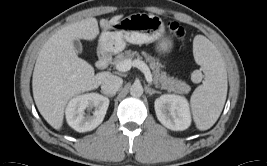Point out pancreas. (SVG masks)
Instances as JSON below:
<instances>
[{"mask_svg": "<svg viewBox=\"0 0 267 166\" xmlns=\"http://www.w3.org/2000/svg\"><path fill=\"white\" fill-rule=\"evenodd\" d=\"M142 56H144L145 61L149 64V67L152 70L153 83L157 88L178 94H187L190 92L191 87L185 81L169 77L165 71H162L163 65L154 57L148 55L144 51L142 52ZM142 56L137 51L126 50L125 52L118 54L112 63L116 66L124 60H132L134 57H136L137 60H141Z\"/></svg>", "mask_w": 267, "mask_h": 166, "instance_id": "1", "label": "pancreas"}]
</instances>
